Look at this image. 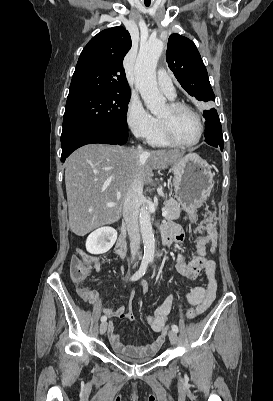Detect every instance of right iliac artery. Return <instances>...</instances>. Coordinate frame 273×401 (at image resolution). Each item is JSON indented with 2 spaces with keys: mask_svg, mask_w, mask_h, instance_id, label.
I'll use <instances>...</instances> for the list:
<instances>
[{
  "mask_svg": "<svg viewBox=\"0 0 273 401\" xmlns=\"http://www.w3.org/2000/svg\"><path fill=\"white\" fill-rule=\"evenodd\" d=\"M150 258H143L139 270L131 277L132 281L140 279L146 272ZM107 320L106 316L101 317V321L105 322Z\"/></svg>",
  "mask_w": 273,
  "mask_h": 401,
  "instance_id": "obj_1",
  "label": "right iliac artery"
}]
</instances>
